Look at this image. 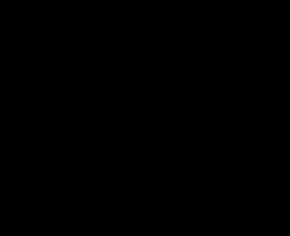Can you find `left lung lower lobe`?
<instances>
[{"label":"left lung lower lobe","instance_id":"0a47b994","mask_svg":"<svg viewBox=\"0 0 290 236\" xmlns=\"http://www.w3.org/2000/svg\"><path fill=\"white\" fill-rule=\"evenodd\" d=\"M241 121L235 92L159 129L154 145L166 186L180 195H197L212 185L227 168Z\"/></svg>","mask_w":290,"mask_h":236}]
</instances>
